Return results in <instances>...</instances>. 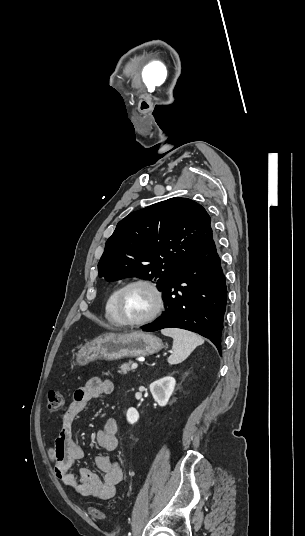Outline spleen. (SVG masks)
<instances>
[{
    "mask_svg": "<svg viewBox=\"0 0 305 536\" xmlns=\"http://www.w3.org/2000/svg\"><path fill=\"white\" fill-rule=\"evenodd\" d=\"M163 336H170L173 338L172 354L167 358L168 364H181L184 362L191 352L204 344L203 338L193 334V332H187V330H179V328H166L161 330Z\"/></svg>",
    "mask_w": 305,
    "mask_h": 536,
    "instance_id": "obj_1",
    "label": "spleen"
}]
</instances>
